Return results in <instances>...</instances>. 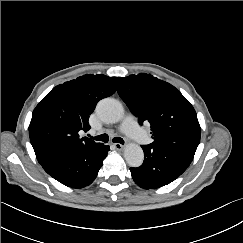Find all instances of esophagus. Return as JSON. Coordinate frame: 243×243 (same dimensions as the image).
Returning <instances> with one entry per match:
<instances>
[{
  "mask_svg": "<svg viewBox=\"0 0 243 243\" xmlns=\"http://www.w3.org/2000/svg\"><path fill=\"white\" fill-rule=\"evenodd\" d=\"M113 146H114V148H115L116 150H119V151H121V150L124 149V146L121 145V144H119V143H116V144H114Z\"/></svg>",
  "mask_w": 243,
  "mask_h": 243,
  "instance_id": "34e87169",
  "label": "esophagus"
}]
</instances>
